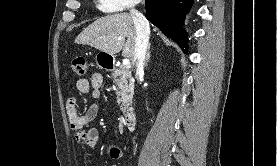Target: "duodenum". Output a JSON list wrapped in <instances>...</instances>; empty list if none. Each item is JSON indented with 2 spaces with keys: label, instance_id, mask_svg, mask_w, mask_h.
<instances>
[{
  "label": "duodenum",
  "instance_id": "duodenum-1",
  "mask_svg": "<svg viewBox=\"0 0 277 166\" xmlns=\"http://www.w3.org/2000/svg\"><path fill=\"white\" fill-rule=\"evenodd\" d=\"M109 67H112V63L109 64ZM136 123V114L133 109H127L124 112V125L128 130H133Z\"/></svg>",
  "mask_w": 277,
  "mask_h": 166
}]
</instances>
